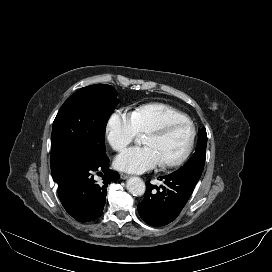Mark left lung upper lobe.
<instances>
[{"label":"left lung upper lobe","instance_id":"left-lung-upper-lobe-1","mask_svg":"<svg viewBox=\"0 0 272 272\" xmlns=\"http://www.w3.org/2000/svg\"><path fill=\"white\" fill-rule=\"evenodd\" d=\"M206 145L207 134L206 129L203 127L202 129L198 130V143L193 157L190 158L184 166L173 173L176 175H186L199 179L204 168Z\"/></svg>","mask_w":272,"mask_h":272}]
</instances>
